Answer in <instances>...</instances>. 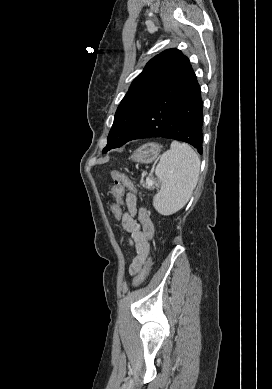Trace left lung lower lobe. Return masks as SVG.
I'll use <instances>...</instances> for the list:
<instances>
[{
  "label": "left lung lower lobe",
  "mask_w": 272,
  "mask_h": 389,
  "mask_svg": "<svg viewBox=\"0 0 272 389\" xmlns=\"http://www.w3.org/2000/svg\"><path fill=\"white\" fill-rule=\"evenodd\" d=\"M202 110L200 86L189 64L153 98L125 143L162 137L189 143L202 154Z\"/></svg>",
  "instance_id": "0a47b994"
}]
</instances>
